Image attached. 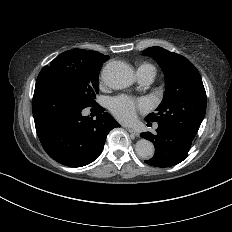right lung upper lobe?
<instances>
[{"label": "right lung upper lobe", "mask_w": 232, "mask_h": 232, "mask_svg": "<svg viewBox=\"0 0 232 232\" xmlns=\"http://www.w3.org/2000/svg\"><path fill=\"white\" fill-rule=\"evenodd\" d=\"M59 56L62 58H66V59L84 58L87 60L99 61L102 63H104L109 58V56H105L99 52L86 51L83 49H72V50L63 52Z\"/></svg>", "instance_id": "1"}]
</instances>
